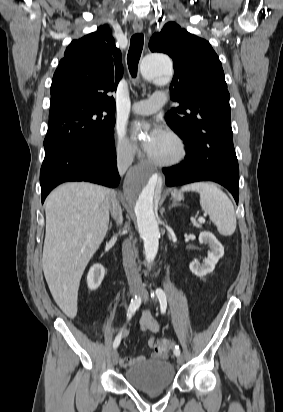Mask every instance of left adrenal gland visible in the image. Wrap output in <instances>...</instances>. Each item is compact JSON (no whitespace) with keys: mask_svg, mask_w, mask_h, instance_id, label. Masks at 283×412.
<instances>
[{"mask_svg":"<svg viewBox=\"0 0 283 412\" xmlns=\"http://www.w3.org/2000/svg\"><path fill=\"white\" fill-rule=\"evenodd\" d=\"M175 206H177V204H176L175 201H173V204H172L171 206H169V209H171V208H173V207H175Z\"/></svg>","mask_w":283,"mask_h":412,"instance_id":"a2214340","label":"left adrenal gland"}]
</instances>
